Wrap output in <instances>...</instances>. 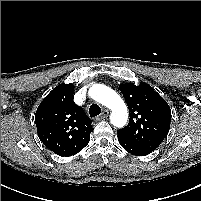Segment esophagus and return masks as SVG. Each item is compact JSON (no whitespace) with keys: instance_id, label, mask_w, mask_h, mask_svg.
<instances>
[{"instance_id":"obj_1","label":"esophagus","mask_w":201,"mask_h":201,"mask_svg":"<svg viewBox=\"0 0 201 201\" xmlns=\"http://www.w3.org/2000/svg\"><path fill=\"white\" fill-rule=\"evenodd\" d=\"M109 115V111L107 109H105L102 114L97 118V120H102V119H105L107 118Z\"/></svg>"}]
</instances>
